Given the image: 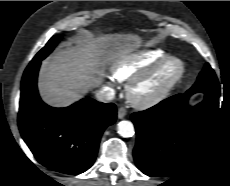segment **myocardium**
<instances>
[{"label": "myocardium", "instance_id": "myocardium-1", "mask_svg": "<svg viewBox=\"0 0 230 186\" xmlns=\"http://www.w3.org/2000/svg\"><path fill=\"white\" fill-rule=\"evenodd\" d=\"M167 64H173L175 66V72L173 75L167 81H165L157 91L146 96L138 95V87L155 76ZM184 73L185 66L179 58L174 56H164L148 69L135 74L128 80L125 88L127 98L135 107L142 109L152 107L164 100L169 95L172 89L181 80Z\"/></svg>", "mask_w": 230, "mask_h": 186}]
</instances>
